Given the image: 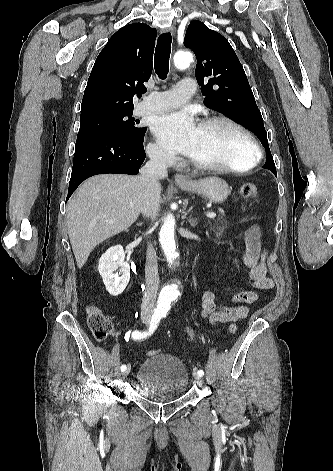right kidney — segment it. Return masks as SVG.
Here are the masks:
<instances>
[{
	"instance_id": "right-kidney-1",
	"label": "right kidney",
	"mask_w": 333,
	"mask_h": 471,
	"mask_svg": "<svg viewBox=\"0 0 333 471\" xmlns=\"http://www.w3.org/2000/svg\"><path fill=\"white\" fill-rule=\"evenodd\" d=\"M118 268L122 273L120 277L118 273H114ZM98 270L109 294L120 295L130 280V266L125 262L123 247L121 245L110 247L99 259Z\"/></svg>"
}]
</instances>
